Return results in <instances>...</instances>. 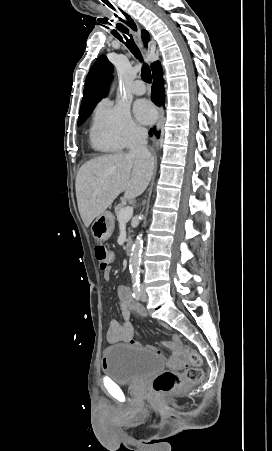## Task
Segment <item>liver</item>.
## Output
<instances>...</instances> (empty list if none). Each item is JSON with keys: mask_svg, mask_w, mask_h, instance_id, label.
Here are the masks:
<instances>
[{"mask_svg": "<svg viewBox=\"0 0 272 451\" xmlns=\"http://www.w3.org/2000/svg\"><path fill=\"white\" fill-rule=\"evenodd\" d=\"M153 174V160L130 154H106L89 160L76 176V198L84 226L103 214L125 192L133 200L145 192Z\"/></svg>", "mask_w": 272, "mask_h": 451, "instance_id": "6515ba94", "label": "liver"}]
</instances>
